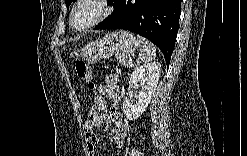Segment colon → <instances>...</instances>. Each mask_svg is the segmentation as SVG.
<instances>
[{
	"instance_id": "5ec220e1",
	"label": "colon",
	"mask_w": 247,
	"mask_h": 156,
	"mask_svg": "<svg viewBox=\"0 0 247 156\" xmlns=\"http://www.w3.org/2000/svg\"><path fill=\"white\" fill-rule=\"evenodd\" d=\"M75 70L79 79H81L87 86L88 90L93 94L92 98L93 107H91V112H100L102 109L103 103H106V98H98L96 94V86L93 80L90 66L82 60H79L75 64ZM91 118H98V113H91Z\"/></svg>"
}]
</instances>
